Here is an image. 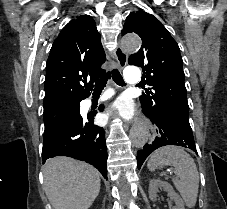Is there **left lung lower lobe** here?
<instances>
[{"label":"left lung lower lobe","instance_id":"obj_1","mask_svg":"<svg viewBox=\"0 0 227 209\" xmlns=\"http://www.w3.org/2000/svg\"><path fill=\"white\" fill-rule=\"evenodd\" d=\"M144 113L158 126L161 137H157L152 144H146L142 150L137 152L138 169L141 168L149 154L162 146L177 145L196 150L189 120L164 110L155 112L144 110Z\"/></svg>","mask_w":227,"mask_h":209}]
</instances>
